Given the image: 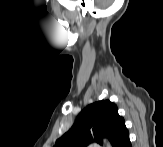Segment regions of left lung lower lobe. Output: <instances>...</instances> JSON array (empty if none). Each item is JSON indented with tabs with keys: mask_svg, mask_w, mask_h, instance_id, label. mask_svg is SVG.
I'll use <instances>...</instances> for the list:
<instances>
[{
	"mask_svg": "<svg viewBox=\"0 0 163 147\" xmlns=\"http://www.w3.org/2000/svg\"><path fill=\"white\" fill-rule=\"evenodd\" d=\"M114 147H131V142L129 139L128 129L125 128L117 141L114 144Z\"/></svg>",
	"mask_w": 163,
	"mask_h": 147,
	"instance_id": "obj_1",
	"label": "left lung lower lobe"
}]
</instances>
